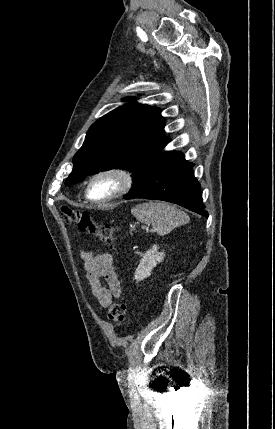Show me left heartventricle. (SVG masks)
Listing matches in <instances>:
<instances>
[{"mask_svg": "<svg viewBox=\"0 0 275 429\" xmlns=\"http://www.w3.org/2000/svg\"><path fill=\"white\" fill-rule=\"evenodd\" d=\"M116 186L117 182L113 177H100L93 182L90 189V195L95 199L106 197L114 191Z\"/></svg>", "mask_w": 275, "mask_h": 429, "instance_id": "1", "label": "left heart ventricle"}]
</instances>
